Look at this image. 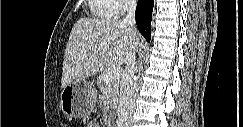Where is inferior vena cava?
I'll use <instances>...</instances> for the list:
<instances>
[{
	"mask_svg": "<svg viewBox=\"0 0 243 127\" xmlns=\"http://www.w3.org/2000/svg\"><path fill=\"white\" fill-rule=\"evenodd\" d=\"M126 17L122 24L131 30L135 28L136 0H125ZM136 48H133L127 55L126 68L120 81V95L118 107L117 127H131L133 112L135 110V71H136Z\"/></svg>",
	"mask_w": 243,
	"mask_h": 127,
	"instance_id": "1",
	"label": "inferior vena cava"
}]
</instances>
